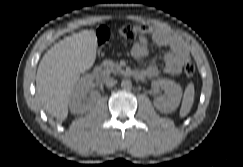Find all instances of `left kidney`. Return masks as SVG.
<instances>
[{
    "label": "left kidney",
    "mask_w": 243,
    "mask_h": 167,
    "mask_svg": "<svg viewBox=\"0 0 243 167\" xmlns=\"http://www.w3.org/2000/svg\"><path fill=\"white\" fill-rule=\"evenodd\" d=\"M152 88L164 91L166 98L154 100V106L161 112L169 113L177 109L182 97V88L179 84L168 79H158L152 81Z\"/></svg>",
    "instance_id": "1"
}]
</instances>
